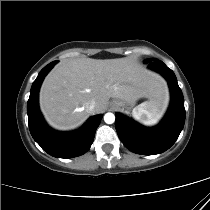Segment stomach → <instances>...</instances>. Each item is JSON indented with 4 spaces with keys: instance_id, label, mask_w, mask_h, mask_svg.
Returning a JSON list of instances; mask_svg holds the SVG:
<instances>
[{
    "instance_id": "1",
    "label": "stomach",
    "mask_w": 210,
    "mask_h": 210,
    "mask_svg": "<svg viewBox=\"0 0 210 210\" xmlns=\"http://www.w3.org/2000/svg\"><path fill=\"white\" fill-rule=\"evenodd\" d=\"M112 105H116L119 109L121 110H129L130 107L134 106L135 102H132V103H127L125 101H122L120 99H116V100H113L111 102ZM136 108V107H135ZM134 108V109H135Z\"/></svg>"
}]
</instances>
